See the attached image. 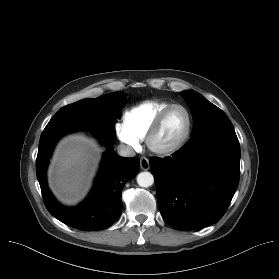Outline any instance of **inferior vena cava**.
<instances>
[{
    "instance_id": "obj_1",
    "label": "inferior vena cava",
    "mask_w": 279,
    "mask_h": 279,
    "mask_svg": "<svg viewBox=\"0 0 279 279\" xmlns=\"http://www.w3.org/2000/svg\"><path fill=\"white\" fill-rule=\"evenodd\" d=\"M118 154L122 157H133L135 155V151L132 147L121 144L118 146Z\"/></svg>"
}]
</instances>
